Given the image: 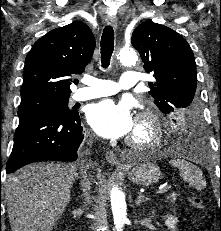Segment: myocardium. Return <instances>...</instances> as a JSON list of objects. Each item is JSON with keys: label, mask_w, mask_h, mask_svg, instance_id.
<instances>
[{"label": "myocardium", "mask_w": 221, "mask_h": 231, "mask_svg": "<svg viewBox=\"0 0 221 231\" xmlns=\"http://www.w3.org/2000/svg\"><path fill=\"white\" fill-rule=\"evenodd\" d=\"M137 125L146 131L144 138L129 136L126 144L136 150L155 149L159 147L164 138L163 123L160 116L152 109H145L137 116Z\"/></svg>", "instance_id": "myocardium-1"}]
</instances>
